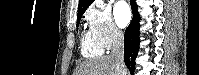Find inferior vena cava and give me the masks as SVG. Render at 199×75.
Masks as SVG:
<instances>
[{"label":"inferior vena cava","mask_w":199,"mask_h":75,"mask_svg":"<svg viewBox=\"0 0 199 75\" xmlns=\"http://www.w3.org/2000/svg\"><path fill=\"white\" fill-rule=\"evenodd\" d=\"M112 50L110 56L115 60V68L117 75H126L127 69L124 64V36L118 30H113L112 33Z\"/></svg>","instance_id":"602c4592"}]
</instances>
